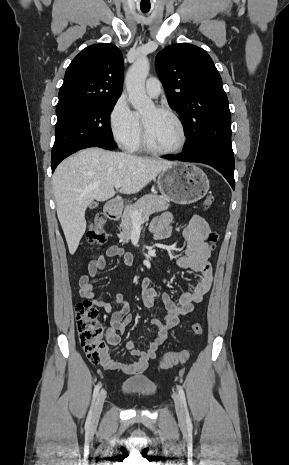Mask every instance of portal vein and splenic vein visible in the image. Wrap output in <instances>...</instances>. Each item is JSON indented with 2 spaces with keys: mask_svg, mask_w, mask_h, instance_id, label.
Listing matches in <instances>:
<instances>
[{
  "mask_svg": "<svg viewBox=\"0 0 289 465\" xmlns=\"http://www.w3.org/2000/svg\"><path fill=\"white\" fill-rule=\"evenodd\" d=\"M114 186H115L116 189H119L122 186V181H117ZM132 219L135 222H140L141 221L140 220L141 219V214L138 213V212H134L132 214Z\"/></svg>",
  "mask_w": 289,
  "mask_h": 465,
  "instance_id": "portal-vein-and-splenic-vein-1",
  "label": "portal vein and splenic vein"
}]
</instances>
